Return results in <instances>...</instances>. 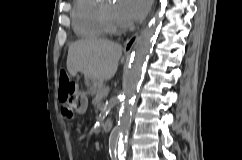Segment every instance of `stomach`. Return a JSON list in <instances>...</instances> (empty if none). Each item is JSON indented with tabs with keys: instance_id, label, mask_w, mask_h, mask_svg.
I'll return each mask as SVG.
<instances>
[{
	"instance_id": "obj_1",
	"label": "stomach",
	"mask_w": 242,
	"mask_h": 160,
	"mask_svg": "<svg viewBox=\"0 0 242 160\" xmlns=\"http://www.w3.org/2000/svg\"><path fill=\"white\" fill-rule=\"evenodd\" d=\"M85 84L91 95H96L103 88V82L92 78H85Z\"/></svg>"
}]
</instances>
